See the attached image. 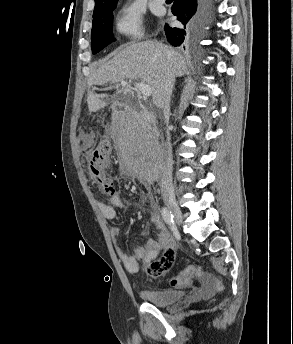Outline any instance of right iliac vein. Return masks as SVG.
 I'll return each instance as SVG.
<instances>
[{"label": "right iliac vein", "mask_w": 293, "mask_h": 344, "mask_svg": "<svg viewBox=\"0 0 293 344\" xmlns=\"http://www.w3.org/2000/svg\"><path fill=\"white\" fill-rule=\"evenodd\" d=\"M166 206L173 213L176 223L181 224L183 221V214L176 201L168 200L166 201Z\"/></svg>", "instance_id": "obj_1"}]
</instances>
